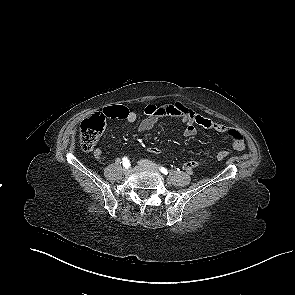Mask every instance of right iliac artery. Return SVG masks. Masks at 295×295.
Instances as JSON below:
<instances>
[{
  "mask_svg": "<svg viewBox=\"0 0 295 295\" xmlns=\"http://www.w3.org/2000/svg\"><path fill=\"white\" fill-rule=\"evenodd\" d=\"M120 163H123V166H124L125 168H129V167H130V162H129V160H128L127 157H124V158L122 159V162H120Z\"/></svg>",
  "mask_w": 295,
  "mask_h": 295,
  "instance_id": "obj_1",
  "label": "right iliac artery"
}]
</instances>
